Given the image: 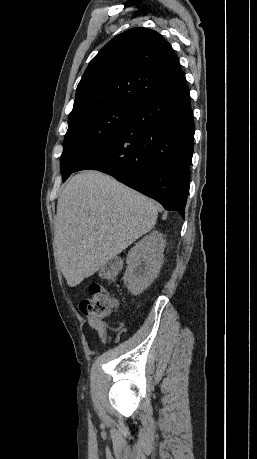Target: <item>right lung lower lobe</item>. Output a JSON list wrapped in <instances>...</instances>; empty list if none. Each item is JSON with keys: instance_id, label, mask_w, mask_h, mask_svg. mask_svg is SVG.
Instances as JSON below:
<instances>
[{"instance_id": "right-lung-lower-lobe-1", "label": "right lung lower lobe", "mask_w": 257, "mask_h": 459, "mask_svg": "<svg viewBox=\"0 0 257 459\" xmlns=\"http://www.w3.org/2000/svg\"><path fill=\"white\" fill-rule=\"evenodd\" d=\"M193 141L194 118L183 76L139 104L126 128L76 171L109 174L184 219Z\"/></svg>"}]
</instances>
